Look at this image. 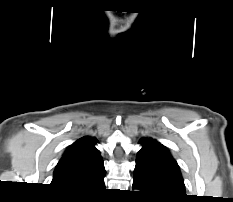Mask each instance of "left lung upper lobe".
<instances>
[{"instance_id": "obj_1", "label": "left lung upper lobe", "mask_w": 233, "mask_h": 202, "mask_svg": "<svg viewBox=\"0 0 233 202\" xmlns=\"http://www.w3.org/2000/svg\"><path fill=\"white\" fill-rule=\"evenodd\" d=\"M137 153L134 180L158 200H182L186 197L184 181L176 160L156 140L143 138Z\"/></svg>"}]
</instances>
